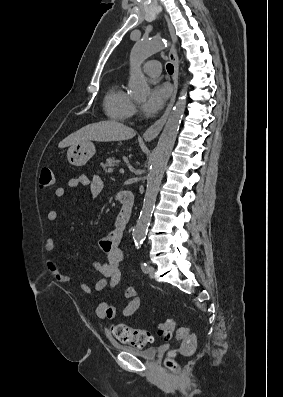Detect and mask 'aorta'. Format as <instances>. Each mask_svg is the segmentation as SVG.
I'll return each mask as SVG.
<instances>
[{
    "label": "aorta",
    "instance_id": "obj_1",
    "mask_svg": "<svg viewBox=\"0 0 283 397\" xmlns=\"http://www.w3.org/2000/svg\"><path fill=\"white\" fill-rule=\"evenodd\" d=\"M166 46L167 43L158 37L152 40L139 41L134 45L130 54V79L128 84L133 96L144 98L149 93L150 88L141 71V65L152 53L162 50ZM186 98L187 86L185 84L180 92L178 101L169 114L152 158L143 207L132 233L137 248H139L146 236L164 170L173 149L186 107Z\"/></svg>",
    "mask_w": 283,
    "mask_h": 397
}]
</instances>
